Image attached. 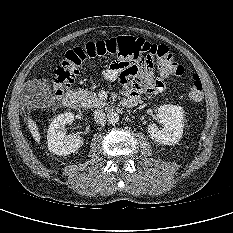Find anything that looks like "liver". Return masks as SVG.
Instances as JSON below:
<instances>
[{"instance_id":"6515ba94","label":"liver","mask_w":233,"mask_h":233,"mask_svg":"<svg viewBox=\"0 0 233 233\" xmlns=\"http://www.w3.org/2000/svg\"><path fill=\"white\" fill-rule=\"evenodd\" d=\"M26 98H28V96H26ZM27 125H28V128L31 132V135L32 137L34 138V140L39 143L40 140H41V135L38 131V126L36 125V123L32 120V119H28L27 121Z\"/></svg>"}]
</instances>
